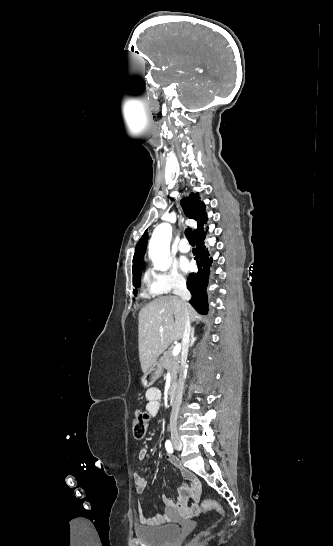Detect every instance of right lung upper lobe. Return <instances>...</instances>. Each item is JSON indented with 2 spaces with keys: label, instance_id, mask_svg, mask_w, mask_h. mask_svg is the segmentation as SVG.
<instances>
[{
  "label": "right lung upper lobe",
  "instance_id": "right-lung-upper-lobe-1",
  "mask_svg": "<svg viewBox=\"0 0 333 546\" xmlns=\"http://www.w3.org/2000/svg\"><path fill=\"white\" fill-rule=\"evenodd\" d=\"M181 206L184 214L197 222V229L194 231V236L203 231V225L207 221V215L205 213V205L200 203L198 193H192L189 197L181 200ZM148 234L144 232L143 236L138 241L135 254L133 258V282L135 277L139 275L140 271L144 267V254L147 247Z\"/></svg>",
  "mask_w": 333,
  "mask_h": 546
}]
</instances>
